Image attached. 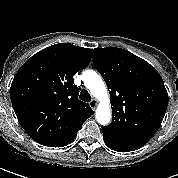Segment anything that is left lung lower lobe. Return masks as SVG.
Returning a JSON list of instances; mask_svg holds the SVG:
<instances>
[{
    "label": "left lung lower lobe",
    "instance_id": "0a47b994",
    "mask_svg": "<svg viewBox=\"0 0 178 178\" xmlns=\"http://www.w3.org/2000/svg\"><path fill=\"white\" fill-rule=\"evenodd\" d=\"M104 141L110 149L118 151V152H129V151L134 150V149L126 148V147L111 143L110 141L106 140L105 138H104Z\"/></svg>",
    "mask_w": 178,
    "mask_h": 178
}]
</instances>
